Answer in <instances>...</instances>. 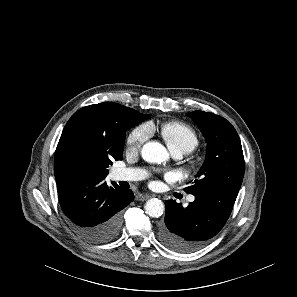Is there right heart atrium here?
Instances as JSON below:
<instances>
[{"mask_svg": "<svg viewBox=\"0 0 297 297\" xmlns=\"http://www.w3.org/2000/svg\"><path fill=\"white\" fill-rule=\"evenodd\" d=\"M150 136V129L147 125H140L133 129L128 138L127 145L131 150L138 151Z\"/></svg>", "mask_w": 297, "mask_h": 297, "instance_id": "obj_1", "label": "right heart atrium"}]
</instances>
